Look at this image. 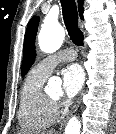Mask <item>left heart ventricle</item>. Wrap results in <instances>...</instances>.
<instances>
[{"mask_svg": "<svg viewBox=\"0 0 116 134\" xmlns=\"http://www.w3.org/2000/svg\"><path fill=\"white\" fill-rule=\"evenodd\" d=\"M50 96L53 97V98H58L59 92H58V91H54V92H52V93L50 94Z\"/></svg>", "mask_w": 116, "mask_h": 134, "instance_id": "obj_1", "label": "left heart ventricle"}]
</instances>
